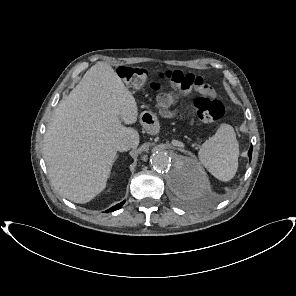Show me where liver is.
Returning <instances> with one entry per match:
<instances>
[{
    "label": "liver",
    "instance_id": "1",
    "mask_svg": "<svg viewBox=\"0 0 296 296\" xmlns=\"http://www.w3.org/2000/svg\"><path fill=\"white\" fill-rule=\"evenodd\" d=\"M138 107L132 93L108 64L98 62L60 101L46 130L44 160L54 188L75 203L102 192L116 159V143L139 144L134 124Z\"/></svg>",
    "mask_w": 296,
    "mask_h": 296
}]
</instances>
